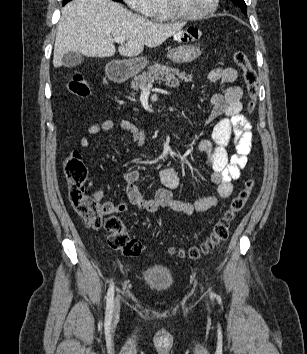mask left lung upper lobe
I'll return each instance as SVG.
<instances>
[{
	"instance_id": "5c2ea615",
	"label": "left lung upper lobe",
	"mask_w": 307,
	"mask_h": 354,
	"mask_svg": "<svg viewBox=\"0 0 307 354\" xmlns=\"http://www.w3.org/2000/svg\"><path fill=\"white\" fill-rule=\"evenodd\" d=\"M231 1L236 5H238L241 8L242 12L246 14V4L244 0H231Z\"/></svg>"
}]
</instances>
